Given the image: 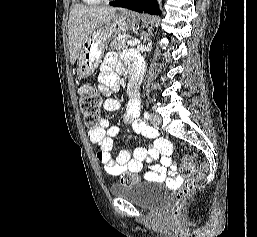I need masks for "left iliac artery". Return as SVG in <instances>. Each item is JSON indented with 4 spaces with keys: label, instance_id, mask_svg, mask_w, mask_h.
<instances>
[{
    "label": "left iliac artery",
    "instance_id": "44dca946",
    "mask_svg": "<svg viewBox=\"0 0 257 237\" xmlns=\"http://www.w3.org/2000/svg\"><path fill=\"white\" fill-rule=\"evenodd\" d=\"M144 118L148 120L150 118V115L147 111L144 112Z\"/></svg>",
    "mask_w": 257,
    "mask_h": 237
}]
</instances>
